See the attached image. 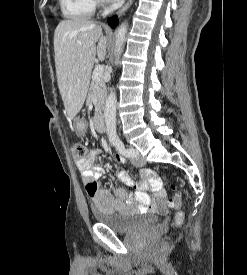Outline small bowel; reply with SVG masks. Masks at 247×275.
Returning <instances> with one entry per match:
<instances>
[{"label": "small bowel", "instance_id": "1", "mask_svg": "<svg viewBox=\"0 0 247 275\" xmlns=\"http://www.w3.org/2000/svg\"><path fill=\"white\" fill-rule=\"evenodd\" d=\"M98 151L93 150L80 161H77V167L80 171L83 182L87 185L93 183L96 185V191L90 195L94 206L101 212L108 213H129L132 211H157L166 210L168 201L166 192L163 188L162 180L159 175L151 169H142L140 175L143 179L142 185L134 182L126 172H119V179L127 186L132 187V191L126 189L99 188L98 180L103 175V169L96 163ZM119 163H124L125 159L121 155L116 156ZM149 189L153 197L146 192Z\"/></svg>", "mask_w": 247, "mask_h": 275}]
</instances>
